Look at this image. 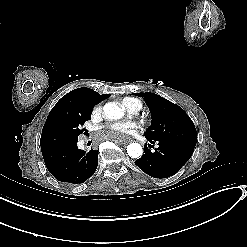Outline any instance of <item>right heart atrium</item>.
Here are the masks:
<instances>
[{"mask_svg":"<svg viewBox=\"0 0 247 247\" xmlns=\"http://www.w3.org/2000/svg\"><path fill=\"white\" fill-rule=\"evenodd\" d=\"M102 113V106L100 104H97L92 109V115L93 117H98Z\"/></svg>","mask_w":247,"mask_h":247,"instance_id":"right-heart-atrium-1","label":"right heart atrium"}]
</instances>
